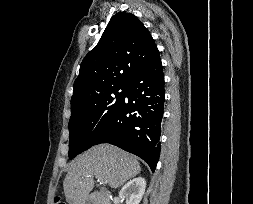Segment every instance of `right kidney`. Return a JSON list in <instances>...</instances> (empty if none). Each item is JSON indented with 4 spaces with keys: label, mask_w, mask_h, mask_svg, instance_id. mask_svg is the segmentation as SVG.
<instances>
[{
    "label": "right kidney",
    "mask_w": 253,
    "mask_h": 204,
    "mask_svg": "<svg viewBox=\"0 0 253 204\" xmlns=\"http://www.w3.org/2000/svg\"><path fill=\"white\" fill-rule=\"evenodd\" d=\"M146 188V181L137 177L126 183L119 191V197L125 200L126 204H139Z\"/></svg>",
    "instance_id": "right-kidney-1"
}]
</instances>
